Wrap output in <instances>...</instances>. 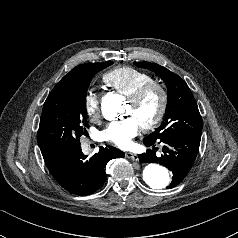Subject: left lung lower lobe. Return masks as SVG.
Masks as SVG:
<instances>
[{
  "mask_svg": "<svg viewBox=\"0 0 238 238\" xmlns=\"http://www.w3.org/2000/svg\"><path fill=\"white\" fill-rule=\"evenodd\" d=\"M201 134L181 133L165 136L157 140L144 138L146 146H152L155 142L162 144L163 154L156 156L154 150H147L139 155L140 162L159 163L168 168L172 174V182L167 188L178 185L189 173L199 151Z\"/></svg>",
  "mask_w": 238,
  "mask_h": 238,
  "instance_id": "1",
  "label": "left lung lower lobe"
}]
</instances>
